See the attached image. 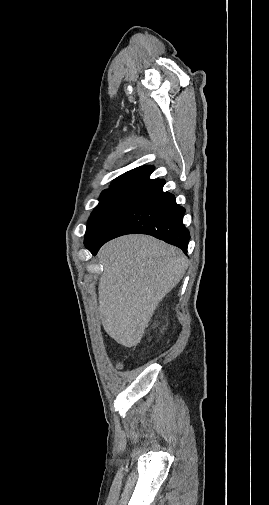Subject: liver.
<instances>
[{
  "label": "liver",
  "instance_id": "1",
  "mask_svg": "<svg viewBox=\"0 0 269 505\" xmlns=\"http://www.w3.org/2000/svg\"><path fill=\"white\" fill-rule=\"evenodd\" d=\"M99 314L107 334L125 347L140 343L159 302L181 280L187 259L177 247L147 235H126L98 253Z\"/></svg>",
  "mask_w": 269,
  "mask_h": 505
}]
</instances>
